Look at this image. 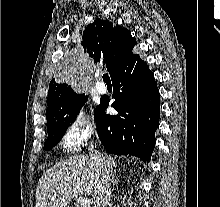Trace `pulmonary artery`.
<instances>
[{
	"label": "pulmonary artery",
	"mask_w": 220,
	"mask_h": 207,
	"mask_svg": "<svg viewBox=\"0 0 220 207\" xmlns=\"http://www.w3.org/2000/svg\"><path fill=\"white\" fill-rule=\"evenodd\" d=\"M96 90H97V92H98L99 94H105L106 91H107L105 85H103V84H97V85H96Z\"/></svg>",
	"instance_id": "pulmonary-artery-1"
}]
</instances>
